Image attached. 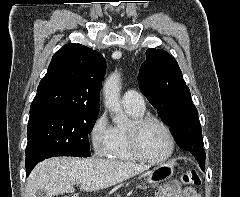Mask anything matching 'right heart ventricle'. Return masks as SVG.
I'll list each match as a JSON object with an SVG mask.
<instances>
[{
	"instance_id": "e07e8e85",
	"label": "right heart ventricle",
	"mask_w": 240,
	"mask_h": 197,
	"mask_svg": "<svg viewBox=\"0 0 240 197\" xmlns=\"http://www.w3.org/2000/svg\"><path fill=\"white\" fill-rule=\"evenodd\" d=\"M126 109L133 119L139 118L145 113V109L138 110L131 107H126ZM107 156L111 160L122 162L140 161V159L132 152L129 146L127 127H112V143L109 154Z\"/></svg>"
}]
</instances>
